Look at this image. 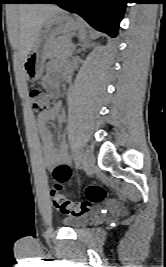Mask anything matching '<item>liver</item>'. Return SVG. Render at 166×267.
<instances>
[{
    "label": "liver",
    "instance_id": "liver-1",
    "mask_svg": "<svg viewBox=\"0 0 166 267\" xmlns=\"http://www.w3.org/2000/svg\"><path fill=\"white\" fill-rule=\"evenodd\" d=\"M62 11L59 7L49 4H21L18 6V50L23 59L37 39L41 25Z\"/></svg>",
    "mask_w": 166,
    "mask_h": 267
}]
</instances>
